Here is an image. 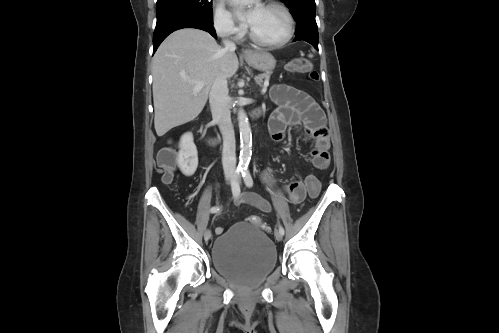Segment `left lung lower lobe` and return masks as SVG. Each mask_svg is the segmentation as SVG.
<instances>
[{"instance_id": "1", "label": "left lung lower lobe", "mask_w": 499, "mask_h": 333, "mask_svg": "<svg viewBox=\"0 0 499 333\" xmlns=\"http://www.w3.org/2000/svg\"><path fill=\"white\" fill-rule=\"evenodd\" d=\"M306 41L318 50V29L315 19H306L297 23L296 37L294 41Z\"/></svg>"}]
</instances>
